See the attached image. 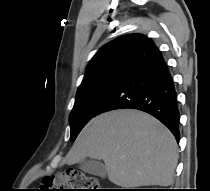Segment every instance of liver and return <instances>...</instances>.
I'll use <instances>...</instances> for the list:
<instances>
[{"label": "liver", "mask_w": 210, "mask_h": 191, "mask_svg": "<svg viewBox=\"0 0 210 191\" xmlns=\"http://www.w3.org/2000/svg\"><path fill=\"white\" fill-rule=\"evenodd\" d=\"M86 157L102 159L108 178L120 187L170 186L178 162L172 133L154 117L120 109L93 118L66 158L68 165Z\"/></svg>", "instance_id": "liver-1"}]
</instances>
